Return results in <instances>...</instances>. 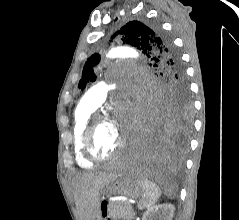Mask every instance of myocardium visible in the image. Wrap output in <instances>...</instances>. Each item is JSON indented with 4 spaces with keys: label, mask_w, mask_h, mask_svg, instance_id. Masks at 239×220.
Segmentation results:
<instances>
[{
    "label": "myocardium",
    "mask_w": 239,
    "mask_h": 220,
    "mask_svg": "<svg viewBox=\"0 0 239 220\" xmlns=\"http://www.w3.org/2000/svg\"><path fill=\"white\" fill-rule=\"evenodd\" d=\"M109 121L103 114H93L89 118L82 136V148L85 156L93 162H105L115 158L124 147V140L120 137L116 148L108 155H98L93 148V135L97 125L101 122Z\"/></svg>",
    "instance_id": "myocardium-1"
}]
</instances>
